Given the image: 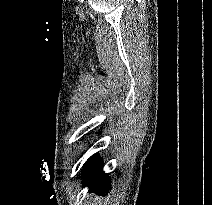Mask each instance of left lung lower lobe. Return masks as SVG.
Instances as JSON below:
<instances>
[{
  "instance_id": "1",
  "label": "left lung lower lobe",
  "mask_w": 212,
  "mask_h": 205,
  "mask_svg": "<svg viewBox=\"0 0 212 205\" xmlns=\"http://www.w3.org/2000/svg\"><path fill=\"white\" fill-rule=\"evenodd\" d=\"M102 160L99 156L90 157L83 165V187L88 186L89 192L104 194L110 189V179L102 172Z\"/></svg>"
}]
</instances>
